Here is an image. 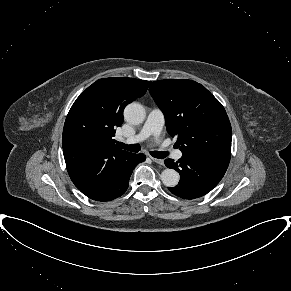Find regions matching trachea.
Wrapping results in <instances>:
<instances>
[{
    "label": "trachea",
    "instance_id": "trachea-1",
    "mask_svg": "<svg viewBox=\"0 0 291 291\" xmlns=\"http://www.w3.org/2000/svg\"><path fill=\"white\" fill-rule=\"evenodd\" d=\"M117 145H118V147L125 149V150H128V151H131V152H139L141 149L138 144L126 145L122 142H118ZM150 154L153 157L158 158V159H163V158L168 156V153L165 151H152V152H150Z\"/></svg>",
    "mask_w": 291,
    "mask_h": 291
}]
</instances>
